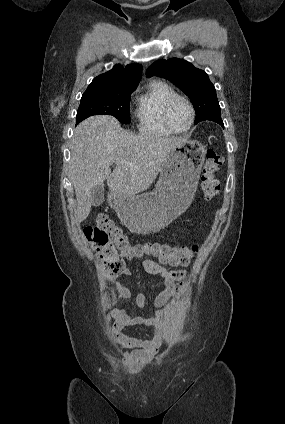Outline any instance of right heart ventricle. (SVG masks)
<instances>
[{"label": "right heart ventricle", "instance_id": "e07e8e85", "mask_svg": "<svg viewBox=\"0 0 285 424\" xmlns=\"http://www.w3.org/2000/svg\"><path fill=\"white\" fill-rule=\"evenodd\" d=\"M177 93L167 83L155 81L136 98L135 115L139 129L146 134L169 137L173 133L163 121V110L166 103Z\"/></svg>", "mask_w": 285, "mask_h": 424}]
</instances>
